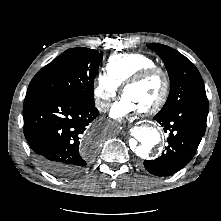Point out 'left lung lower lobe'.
I'll return each mask as SVG.
<instances>
[{"instance_id": "obj_1", "label": "left lung lower lobe", "mask_w": 221, "mask_h": 221, "mask_svg": "<svg viewBox=\"0 0 221 221\" xmlns=\"http://www.w3.org/2000/svg\"><path fill=\"white\" fill-rule=\"evenodd\" d=\"M208 106L185 104L175 110L158 113L154 119L169 133L168 146L155 160H145V168L153 175H172L194 157L206 130Z\"/></svg>"}]
</instances>
